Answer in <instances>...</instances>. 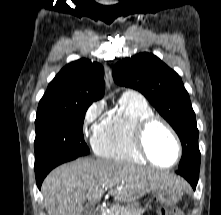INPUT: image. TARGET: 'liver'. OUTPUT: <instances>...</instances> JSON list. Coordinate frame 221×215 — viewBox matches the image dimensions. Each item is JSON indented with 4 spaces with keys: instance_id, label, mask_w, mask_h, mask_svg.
Masks as SVG:
<instances>
[{
    "instance_id": "6515ba94",
    "label": "liver",
    "mask_w": 221,
    "mask_h": 215,
    "mask_svg": "<svg viewBox=\"0 0 221 215\" xmlns=\"http://www.w3.org/2000/svg\"><path fill=\"white\" fill-rule=\"evenodd\" d=\"M186 186L183 179L167 172L82 158L54 169L45 178L41 192L48 215H81L84 206L100 201L107 188L115 200L131 204L155 189L181 190Z\"/></svg>"
}]
</instances>
